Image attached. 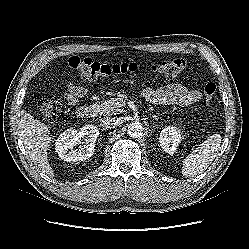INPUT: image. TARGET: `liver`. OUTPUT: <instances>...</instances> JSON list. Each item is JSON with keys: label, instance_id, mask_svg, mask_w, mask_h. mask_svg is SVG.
<instances>
[{"label": "liver", "instance_id": "1", "mask_svg": "<svg viewBox=\"0 0 249 249\" xmlns=\"http://www.w3.org/2000/svg\"><path fill=\"white\" fill-rule=\"evenodd\" d=\"M20 137L25 148L42 173L53 177L54 172L47 159V150L52 141L50 132L46 124L35 119L27 112H21V118L18 123Z\"/></svg>", "mask_w": 249, "mask_h": 249}]
</instances>
